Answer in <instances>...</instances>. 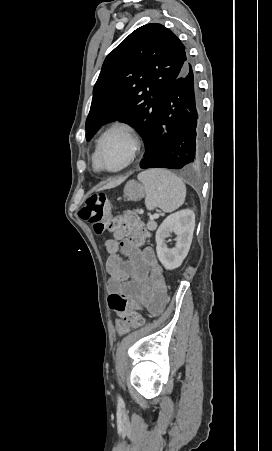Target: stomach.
I'll list each match as a JSON object with an SVG mask.
<instances>
[{"instance_id":"stomach-1","label":"stomach","mask_w":272,"mask_h":451,"mask_svg":"<svg viewBox=\"0 0 272 451\" xmlns=\"http://www.w3.org/2000/svg\"><path fill=\"white\" fill-rule=\"evenodd\" d=\"M123 192L127 200H131V202H138V200H141V198H144L145 196L143 184H139V182H135V180L127 182Z\"/></svg>"}]
</instances>
